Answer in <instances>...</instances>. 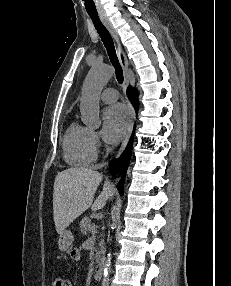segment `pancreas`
<instances>
[{
	"mask_svg": "<svg viewBox=\"0 0 231 286\" xmlns=\"http://www.w3.org/2000/svg\"><path fill=\"white\" fill-rule=\"evenodd\" d=\"M93 225V223H91V219L89 217H84L81 221H80V231L82 234L86 235L89 231H91V226ZM96 233V232H95ZM103 240H101V242L99 243V246L102 250V246H103ZM101 251L97 252L96 255V259L98 260L100 257Z\"/></svg>",
	"mask_w": 231,
	"mask_h": 286,
	"instance_id": "cf45deb5",
	"label": "pancreas"
}]
</instances>
